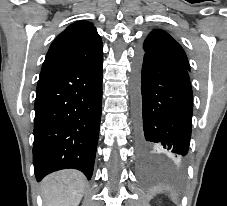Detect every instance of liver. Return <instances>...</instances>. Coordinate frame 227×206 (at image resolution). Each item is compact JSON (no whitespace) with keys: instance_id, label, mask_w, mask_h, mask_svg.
<instances>
[{"instance_id":"6515ba94","label":"liver","mask_w":227,"mask_h":206,"mask_svg":"<svg viewBox=\"0 0 227 206\" xmlns=\"http://www.w3.org/2000/svg\"><path fill=\"white\" fill-rule=\"evenodd\" d=\"M85 188V176L80 171L67 169L45 177L41 194L45 206H78Z\"/></svg>"}]
</instances>
